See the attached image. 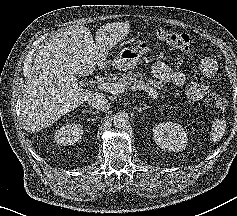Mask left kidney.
<instances>
[{
  "label": "left kidney",
  "mask_w": 237,
  "mask_h": 216,
  "mask_svg": "<svg viewBox=\"0 0 237 216\" xmlns=\"http://www.w3.org/2000/svg\"><path fill=\"white\" fill-rule=\"evenodd\" d=\"M155 143L163 150L179 152L186 143V134L178 124L172 122L161 123L153 129Z\"/></svg>",
  "instance_id": "obj_1"
}]
</instances>
